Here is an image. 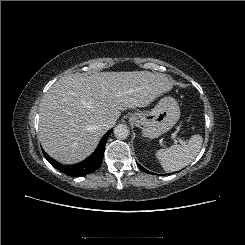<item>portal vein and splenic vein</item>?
<instances>
[{"label": "portal vein and splenic vein", "instance_id": "obj_1", "mask_svg": "<svg viewBox=\"0 0 245 245\" xmlns=\"http://www.w3.org/2000/svg\"><path fill=\"white\" fill-rule=\"evenodd\" d=\"M171 138L175 141V142H179L182 146L186 145V142L181 140L179 137H177V135L175 133L171 134Z\"/></svg>", "mask_w": 245, "mask_h": 245}]
</instances>
